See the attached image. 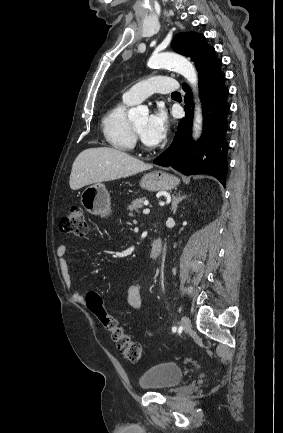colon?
Returning a JSON list of instances; mask_svg holds the SVG:
<instances>
[{"label":"colon","instance_id":"1","mask_svg":"<svg viewBox=\"0 0 283 433\" xmlns=\"http://www.w3.org/2000/svg\"><path fill=\"white\" fill-rule=\"evenodd\" d=\"M60 229L77 239L85 238L88 227L84 209L81 206L73 205L68 214L61 219ZM85 304L104 329L110 333L111 339L122 356L130 362L139 361L144 353L142 344L133 341L125 330L118 325L116 319L107 313L100 296L95 292L88 293Z\"/></svg>","mask_w":283,"mask_h":433}]
</instances>
